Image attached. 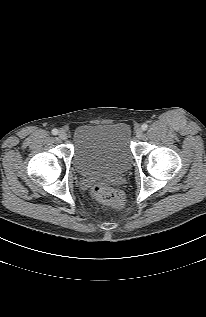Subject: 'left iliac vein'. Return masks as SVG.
<instances>
[{
  "label": "left iliac vein",
  "instance_id": "left-iliac-vein-1",
  "mask_svg": "<svg viewBox=\"0 0 206 317\" xmlns=\"http://www.w3.org/2000/svg\"><path fill=\"white\" fill-rule=\"evenodd\" d=\"M142 135H143L142 128H137L136 129V137L140 138Z\"/></svg>",
  "mask_w": 206,
  "mask_h": 317
}]
</instances>
